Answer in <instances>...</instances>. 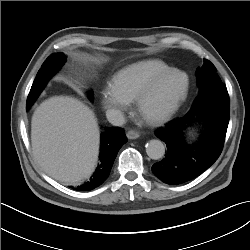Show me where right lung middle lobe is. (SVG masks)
I'll list each match as a JSON object with an SVG mask.
<instances>
[{
	"instance_id": "obj_1",
	"label": "right lung middle lobe",
	"mask_w": 250,
	"mask_h": 250,
	"mask_svg": "<svg viewBox=\"0 0 250 250\" xmlns=\"http://www.w3.org/2000/svg\"><path fill=\"white\" fill-rule=\"evenodd\" d=\"M65 61V56L63 55V53L59 52L52 54L43 63L29 92L26 109H29L32 106L42 89L45 87L47 81L52 75H54L55 72H57L61 68Z\"/></svg>"
}]
</instances>
